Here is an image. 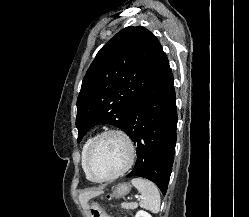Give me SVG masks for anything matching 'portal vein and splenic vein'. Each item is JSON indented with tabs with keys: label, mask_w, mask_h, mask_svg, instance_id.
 Segmentation results:
<instances>
[{
	"label": "portal vein and splenic vein",
	"mask_w": 249,
	"mask_h": 217,
	"mask_svg": "<svg viewBox=\"0 0 249 217\" xmlns=\"http://www.w3.org/2000/svg\"><path fill=\"white\" fill-rule=\"evenodd\" d=\"M142 196H135V198H137V199H139V198H141Z\"/></svg>",
	"instance_id": "18ae733b"
}]
</instances>
